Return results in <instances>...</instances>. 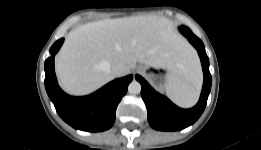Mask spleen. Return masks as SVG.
I'll return each mask as SVG.
<instances>
[{
	"label": "spleen",
	"instance_id": "spleen-1",
	"mask_svg": "<svg viewBox=\"0 0 261 150\" xmlns=\"http://www.w3.org/2000/svg\"><path fill=\"white\" fill-rule=\"evenodd\" d=\"M202 86V74L198 61L191 62L179 74H173L167 84L166 93L177 105L189 108L196 104Z\"/></svg>",
	"mask_w": 261,
	"mask_h": 150
}]
</instances>
